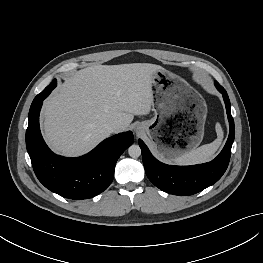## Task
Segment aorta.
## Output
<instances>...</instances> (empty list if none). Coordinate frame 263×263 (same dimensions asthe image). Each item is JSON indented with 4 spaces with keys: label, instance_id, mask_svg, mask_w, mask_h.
<instances>
[{
    "label": "aorta",
    "instance_id": "1",
    "mask_svg": "<svg viewBox=\"0 0 263 263\" xmlns=\"http://www.w3.org/2000/svg\"><path fill=\"white\" fill-rule=\"evenodd\" d=\"M128 154L132 158H137L141 155V148L139 145L133 144L128 148Z\"/></svg>",
    "mask_w": 263,
    "mask_h": 263
}]
</instances>
